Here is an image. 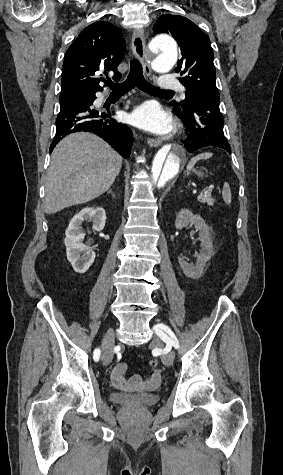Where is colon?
<instances>
[{"label":"colon","instance_id":"5ec220e1","mask_svg":"<svg viewBox=\"0 0 283 475\" xmlns=\"http://www.w3.org/2000/svg\"><path fill=\"white\" fill-rule=\"evenodd\" d=\"M149 365H150V367H153V368L157 367L158 366V359H156V358L150 359Z\"/></svg>","mask_w":283,"mask_h":475}]
</instances>
